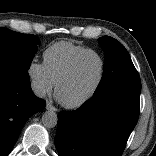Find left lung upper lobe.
<instances>
[{
	"label": "left lung upper lobe",
	"instance_id": "1",
	"mask_svg": "<svg viewBox=\"0 0 156 156\" xmlns=\"http://www.w3.org/2000/svg\"><path fill=\"white\" fill-rule=\"evenodd\" d=\"M99 42L105 50L102 79L94 94L110 89L141 91V81L125 47L116 39L103 36Z\"/></svg>",
	"mask_w": 156,
	"mask_h": 156
}]
</instances>
